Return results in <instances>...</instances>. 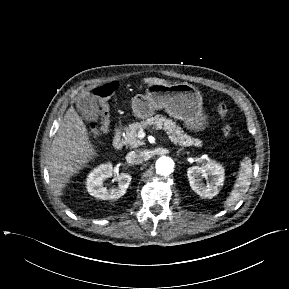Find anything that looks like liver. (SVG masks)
<instances>
[{
    "mask_svg": "<svg viewBox=\"0 0 289 289\" xmlns=\"http://www.w3.org/2000/svg\"><path fill=\"white\" fill-rule=\"evenodd\" d=\"M144 82L148 84L168 83L159 78H145ZM96 155L82 117L73 107H70L54 136L48 158L51 188L54 193L61 195L62 189L65 188L70 178Z\"/></svg>",
    "mask_w": 289,
    "mask_h": 289,
    "instance_id": "1",
    "label": "liver"
}]
</instances>
